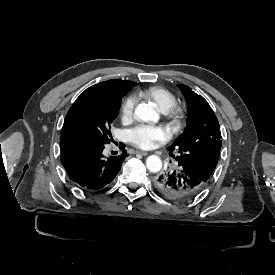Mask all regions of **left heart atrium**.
<instances>
[{
	"label": "left heart atrium",
	"instance_id": "1",
	"mask_svg": "<svg viewBox=\"0 0 275 275\" xmlns=\"http://www.w3.org/2000/svg\"><path fill=\"white\" fill-rule=\"evenodd\" d=\"M171 131L162 125L139 124L126 131L128 141L139 149L155 148L171 138Z\"/></svg>",
	"mask_w": 275,
	"mask_h": 275
}]
</instances>
